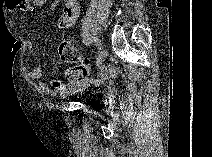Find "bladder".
<instances>
[{
	"label": "bladder",
	"instance_id": "bladder-1",
	"mask_svg": "<svg viewBox=\"0 0 212 157\" xmlns=\"http://www.w3.org/2000/svg\"><path fill=\"white\" fill-rule=\"evenodd\" d=\"M89 95H96V92H90Z\"/></svg>",
	"mask_w": 212,
	"mask_h": 157
}]
</instances>
